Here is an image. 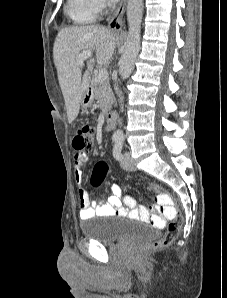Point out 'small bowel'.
I'll use <instances>...</instances> for the list:
<instances>
[{"label": "small bowel", "mask_w": 227, "mask_h": 298, "mask_svg": "<svg viewBox=\"0 0 227 298\" xmlns=\"http://www.w3.org/2000/svg\"><path fill=\"white\" fill-rule=\"evenodd\" d=\"M88 161L86 150H75L74 155V179L80 187L79 198V217L82 220L91 219L95 216H126L128 210L123 205V191L119 184L113 183L111 186L112 194L107 202L96 197L91 199L86 189L81 185L83 182V170ZM130 209L129 214L133 217L146 218L148 210L144 206L137 205L133 200H127Z\"/></svg>", "instance_id": "c3829d8e"}]
</instances>
